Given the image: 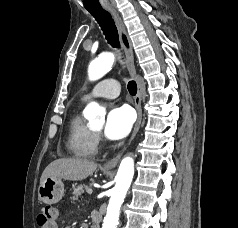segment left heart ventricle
<instances>
[{
	"mask_svg": "<svg viewBox=\"0 0 238 228\" xmlns=\"http://www.w3.org/2000/svg\"><path fill=\"white\" fill-rule=\"evenodd\" d=\"M96 130H100L101 129V125H98L95 127Z\"/></svg>",
	"mask_w": 238,
	"mask_h": 228,
	"instance_id": "b2bd125f",
	"label": "left heart ventricle"
}]
</instances>
